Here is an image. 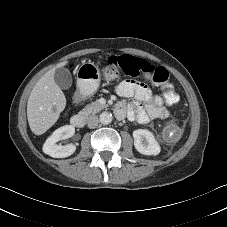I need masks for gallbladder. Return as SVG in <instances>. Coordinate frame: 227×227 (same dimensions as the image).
I'll list each match as a JSON object with an SVG mask.
<instances>
[{
    "instance_id": "bac80fb5",
    "label": "gallbladder",
    "mask_w": 227,
    "mask_h": 227,
    "mask_svg": "<svg viewBox=\"0 0 227 227\" xmlns=\"http://www.w3.org/2000/svg\"><path fill=\"white\" fill-rule=\"evenodd\" d=\"M54 80L61 89H68L72 85V75L67 68H58L54 74Z\"/></svg>"
}]
</instances>
